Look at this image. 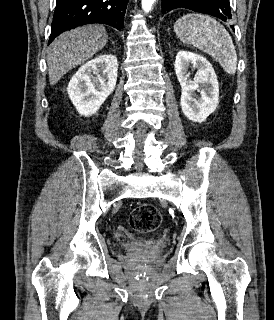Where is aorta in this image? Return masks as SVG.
I'll return each instance as SVG.
<instances>
[{"mask_svg":"<svg viewBox=\"0 0 274 320\" xmlns=\"http://www.w3.org/2000/svg\"><path fill=\"white\" fill-rule=\"evenodd\" d=\"M156 0H142L141 4H142V8L145 12H149L151 11L153 4Z\"/></svg>","mask_w":274,"mask_h":320,"instance_id":"obj_1","label":"aorta"}]
</instances>
